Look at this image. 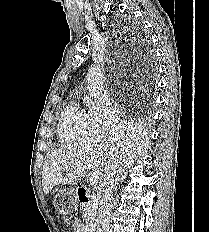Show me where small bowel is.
Segmentation results:
<instances>
[{
    "label": "small bowel",
    "instance_id": "small-bowel-1",
    "mask_svg": "<svg viewBox=\"0 0 209 232\" xmlns=\"http://www.w3.org/2000/svg\"><path fill=\"white\" fill-rule=\"evenodd\" d=\"M72 226L73 232H86L84 225L79 220H75Z\"/></svg>",
    "mask_w": 209,
    "mask_h": 232
}]
</instances>
